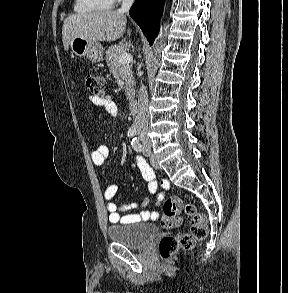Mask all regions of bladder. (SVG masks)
Returning <instances> with one entry per match:
<instances>
[{
    "instance_id": "1",
    "label": "bladder",
    "mask_w": 288,
    "mask_h": 293,
    "mask_svg": "<svg viewBox=\"0 0 288 293\" xmlns=\"http://www.w3.org/2000/svg\"><path fill=\"white\" fill-rule=\"evenodd\" d=\"M110 239L128 248H141L158 234V228L150 223L111 225L107 229Z\"/></svg>"
}]
</instances>
